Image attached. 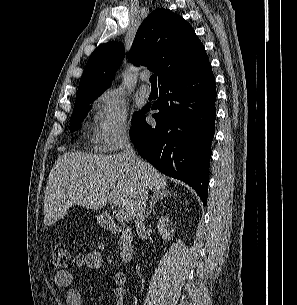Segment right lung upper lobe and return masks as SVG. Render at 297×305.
<instances>
[{
    "label": "right lung upper lobe",
    "mask_w": 297,
    "mask_h": 305,
    "mask_svg": "<svg viewBox=\"0 0 297 305\" xmlns=\"http://www.w3.org/2000/svg\"><path fill=\"white\" fill-rule=\"evenodd\" d=\"M123 54L121 42L96 48L84 69L76 101L100 96L112 82ZM129 57L135 65L148 66L159 77V85L189 76L209 64L205 48L190 24L162 8L143 21Z\"/></svg>",
    "instance_id": "right-lung-upper-lobe-1"
}]
</instances>
